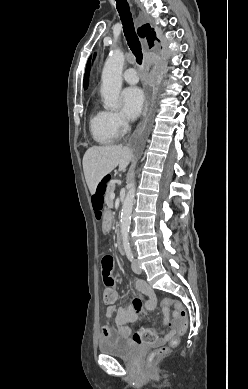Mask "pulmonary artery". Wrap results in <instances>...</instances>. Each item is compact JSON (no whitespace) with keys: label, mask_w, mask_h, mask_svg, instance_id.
Listing matches in <instances>:
<instances>
[{"label":"pulmonary artery","mask_w":248,"mask_h":389,"mask_svg":"<svg viewBox=\"0 0 248 389\" xmlns=\"http://www.w3.org/2000/svg\"><path fill=\"white\" fill-rule=\"evenodd\" d=\"M123 79L129 84H135L139 80V76L134 68H129L123 73Z\"/></svg>","instance_id":"1"}]
</instances>
